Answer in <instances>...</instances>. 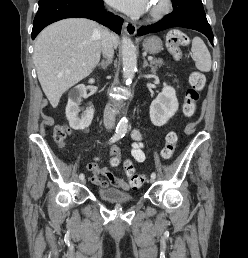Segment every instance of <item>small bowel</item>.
I'll use <instances>...</instances> for the list:
<instances>
[{
    "label": "small bowel",
    "instance_id": "c3829d8e",
    "mask_svg": "<svg viewBox=\"0 0 248 258\" xmlns=\"http://www.w3.org/2000/svg\"><path fill=\"white\" fill-rule=\"evenodd\" d=\"M132 138L134 140V143L132 144L131 155L135 161L142 163L146 159V155L142 149V135L139 131L134 130L132 132ZM97 160L98 158H96V161ZM87 169L93 174L91 178L92 183L99 187L114 186L123 190L136 188L131 184V181L128 182L122 178L115 177L108 168H100L96 162L87 164ZM102 176L106 177L107 180L103 179Z\"/></svg>",
    "mask_w": 248,
    "mask_h": 258
}]
</instances>
